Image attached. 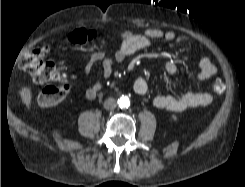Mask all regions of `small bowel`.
Segmentation results:
<instances>
[{
	"label": "small bowel",
	"mask_w": 245,
	"mask_h": 187,
	"mask_svg": "<svg viewBox=\"0 0 245 187\" xmlns=\"http://www.w3.org/2000/svg\"><path fill=\"white\" fill-rule=\"evenodd\" d=\"M85 34L87 41H93L98 36L95 30H85ZM118 37L121 40V45L112 57H108L104 50H98L85 55L86 65L83 71L84 76L90 73L96 63L101 62L104 78H109L116 64L146 49L155 40H164L171 46L189 42L187 35L176 34L174 31H164L158 28H149L143 33L124 31ZM199 67L200 71L195 78L197 81L206 80L216 73V67L208 56H203L200 59ZM164 69L170 75L176 74L178 70L177 65L171 61L165 63ZM101 87V81L95 82L85 91L84 97L86 99L96 98L100 93ZM133 88L138 95H145L148 92V84L143 78H137L134 81ZM211 101L212 98L208 93L190 89L181 95H157L153 98V105L157 109L181 112L190 108L209 105Z\"/></svg>",
	"instance_id": "obj_1"
}]
</instances>
